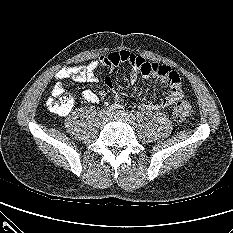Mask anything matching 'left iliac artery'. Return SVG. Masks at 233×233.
<instances>
[{
    "instance_id": "44dca946",
    "label": "left iliac artery",
    "mask_w": 233,
    "mask_h": 233,
    "mask_svg": "<svg viewBox=\"0 0 233 233\" xmlns=\"http://www.w3.org/2000/svg\"><path fill=\"white\" fill-rule=\"evenodd\" d=\"M129 117H130V120H131V121H134V120L136 119V117H135L134 114H130Z\"/></svg>"
}]
</instances>
